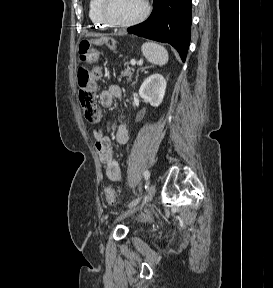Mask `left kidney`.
Segmentation results:
<instances>
[{
    "label": "left kidney",
    "instance_id": "obj_1",
    "mask_svg": "<svg viewBox=\"0 0 273 288\" xmlns=\"http://www.w3.org/2000/svg\"><path fill=\"white\" fill-rule=\"evenodd\" d=\"M167 82L161 74H153L144 80L139 95L152 106L158 107L164 98Z\"/></svg>",
    "mask_w": 273,
    "mask_h": 288
}]
</instances>
